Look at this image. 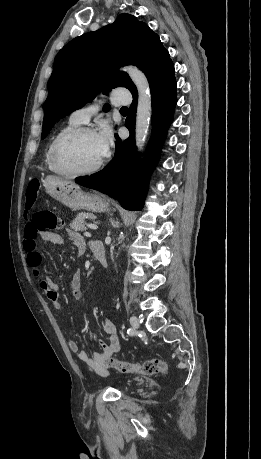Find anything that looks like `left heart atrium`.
Listing matches in <instances>:
<instances>
[{
	"label": "left heart atrium",
	"instance_id": "obj_1",
	"mask_svg": "<svg viewBox=\"0 0 261 459\" xmlns=\"http://www.w3.org/2000/svg\"><path fill=\"white\" fill-rule=\"evenodd\" d=\"M96 137L101 147L102 156H107L113 144V133L111 128L107 125L103 126L100 131L96 133Z\"/></svg>",
	"mask_w": 261,
	"mask_h": 459
}]
</instances>
